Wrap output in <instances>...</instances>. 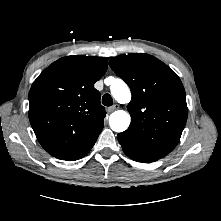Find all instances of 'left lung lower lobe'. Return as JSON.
<instances>
[{"instance_id": "left-lung-lower-lobe-1", "label": "left lung lower lobe", "mask_w": 221, "mask_h": 221, "mask_svg": "<svg viewBox=\"0 0 221 221\" xmlns=\"http://www.w3.org/2000/svg\"><path fill=\"white\" fill-rule=\"evenodd\" d=\"M117 138L122 146L124 153L137 162H153L160 159L155 157L154 155L147 154L133 146L123 133H119L117 135Z\"/></svg>"}]
</instances>
